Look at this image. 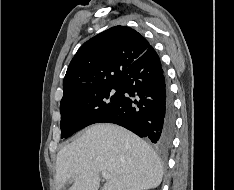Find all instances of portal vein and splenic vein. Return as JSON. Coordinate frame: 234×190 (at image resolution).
Returning <instances> with one entry per match:
<instances>
[{
    "mask_svg": "<svg viewBox=\"0 0 234 190\" xmlns=\"http://www.w3.org/2000/svg\"><path fill=\"white\" fill-rule=\"evenodd\" d=\"M102 177L104 178V179H110V175H109V173L108 172H106V171H103L102 173Z\"/></svg>",
    "mask_w": 234,
    "mask_h": 190,
    "instance_id": "portal-vein-and-splenic-vein-1",
    "label": "portal vein and splenic vein"
}]
</instances>
